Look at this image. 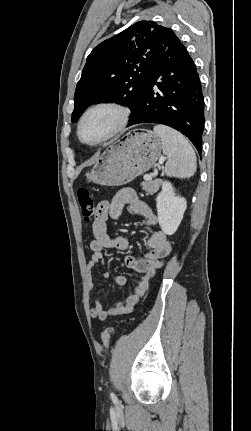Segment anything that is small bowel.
I'll return each mask as SVG.
<instances>
[{
  "instance_id": "small-bowel-1",
  "label": "small bowel",
  "mask_w": 251,
  "mask_h": 431,
  "mask_svg": "<svg viewBox=\"0 0 251 431\" xmlns=\"http://www.w3.org/2000/svg\"><path fill=\"white\" fill-rule=\"evenodd\" d=\"M124 211L144 217L151 226H157V217L148 205L141 200L130 188L119 190L112 200L101 201L95 214L92 225L94 238L90 242L92 255L87 263V279L89 290H93L92 272L98 266L104 265V249L127 250L129 247L128 239L124 236H111L107 232V221L118 219ZM150 251L142 258L128 256L125 259L126 265L140 273L137 278L132 294L124 300L112 306L103 308L100 301L95 300L91 306L90 314L93 318L100 321L123 313L130 312L144 295L149 286V281L154 277L156 270L160 269L172 250V243L168 235L162 230L156 229L147 239ZM103 277L108 278L109 273L104 272ZM113 281L119 286L126 284L123 275H114Z\"/></svg>"
}]
</instances>
